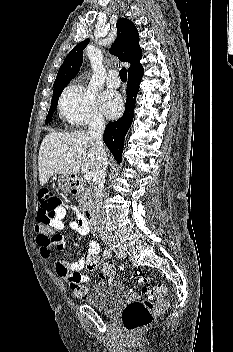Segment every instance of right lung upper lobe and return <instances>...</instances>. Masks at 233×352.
<instances>
[{
	"label": "right lung upper lobe",
	"mask_w": 233,
	"mask_h": 352,
	"mask_svg": "<svg viewBox=\"0 0 233 352\" xmlns=\"http://www.w3.org/2000/svg\"><path fill=\"white\" fill-rule=\"evenodd\" d=\"M117 37L110 48V53L117 56L121 61L130 63L128 69V77L134 74L143 72L140 59L142 51L139 47V35L134 23L127 18H120L116 24ZM89 39L80 42L66 56L61 65L56 80L54 89L66 87L70 81L77 75L82 62L83 50L88 45Z\"/></svg>",
	"instance_id": "obj_1"
}]
</instances>
